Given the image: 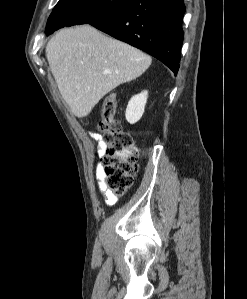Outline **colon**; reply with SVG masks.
I'll use <instances>...</instances> for the list:
<instances>
[{"label": "colon", "mask_w": 247, "mask_h": 299, "mask_svg": "<svg viewBox=\"0 0 247 299\" xmlns=\"http://www.w3.org/2000/svg\"><path fill=\"white\" fill-rule=\"evenodd\" d=\"M116 108V95L108 94L103 101L98 128L103 141L104 182L111 193L122 196L133 183L139 153L132 136L123 130L116 118Z\"/></svg>", "instance_id": "5ec220e1"}]
</instances>
